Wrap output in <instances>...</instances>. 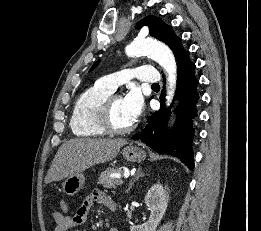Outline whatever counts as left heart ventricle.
<instances>
[{
    "label": "left heart ventricle",
    "instance_id": "left-heart-ventricle-1",
    "mask_svg": "<svg viewBox=\"0 0 261 231\" xmlns=\"http://www.w3.org/2000/svg\"><path fill=\"white\" fill-rule=\"evenodd\" d=\"M112 118L113 122L118 127H126L134 122L125 108L123 98L114 101L112 106Z\"/></svg>",
    "mask_w": 261,
    "mask_h": 231
}]
</instances>
